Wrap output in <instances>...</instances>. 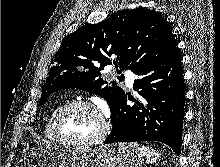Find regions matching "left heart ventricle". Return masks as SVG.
<instances>
[{
    "instance_id": "obj_1",
    "label": "left heart ventricle",
    "mask_w": 220,
    "mask_h": 167,
    "mask_svg": "<svg viewBox=\"0 0 220 167\" xmlns=\"http://www.w3.org/2000/svg\"><path fill=\"white\" fill-rule=\"evenodd\" d=\"M101 126L99 116L89 108L74 106L59 120V130L66 139L85 140L93 138Z\"/></svg>"
}]
</instances>
